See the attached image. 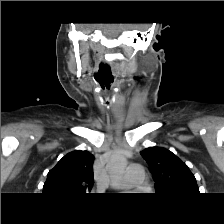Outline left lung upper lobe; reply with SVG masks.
Returning <instances> with one entry per match:
<instances>
[{
	"mask_svg": "<svg viewBox=\"0 0 224 224\" xmlns=\"http://www.w3.org/2000/svg\"><path fill=\"white\" fill-rule=\"evenodd\" d=\"M140 153L150 166L157 195L183 197L199 194L194 175L171 151L161 147H149Z\"/></svg>",
	"mask_w": 224,
	"mask_h": 224,
	"instance_id": "5c2ea615",
	"label": "left lung upper lobe"
}]
</instances>
